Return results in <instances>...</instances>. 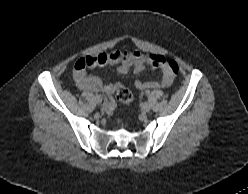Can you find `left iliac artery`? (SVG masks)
I'll return each instance as SVG.
<instances>
[{
    "label": "left iliac artery",
    "mask_w": 248,
    "mask_h": 194,
    "mask_svg": "<svg viewBox=\"0 0 248 194\" xmlns=\"http://www.w3.org/2000/svg\"><path fill=\"white\" fill-rule=\"evenodd\" d=\"M149 93H150V92H149V91H147V92H146V95H149Z\"/></svg>",
    "instance_id": "1"
}]
</instances>
